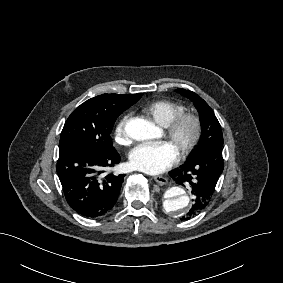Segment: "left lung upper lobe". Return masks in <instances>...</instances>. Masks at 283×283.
<instances>
[{"label": "left lung upper lobe", "instance_id": "obj_1", "mask_svg": "<svg viewBox=\"0 0 283 283\" xmlns=\"http://www.w3.org/2000/svg\"><path fill=\"white\" fill-rule=\"evenodd\" d=\"M177 92L191 99L199 112L202 134L191 157L201 154L205 149L223 146L222 130L213 110L207 103L192 91L177 89ZM188 158V159H190Z\"/></svg>", "mask_w": 283, "mask_h": 283}]
</instances>
